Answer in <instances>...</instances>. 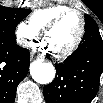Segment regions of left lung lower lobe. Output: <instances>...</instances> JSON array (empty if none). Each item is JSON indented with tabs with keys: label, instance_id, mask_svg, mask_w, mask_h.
I'll list each match as a JSON object with an SVG mask.
<instances>
[{
	"label": "left lung lower lobe",
	"instance_id": "obj_1",
	"mask_svg": "<svg viewBox=\"0 0 103 103\" xmlns=\"http://www.w3.org/2000/svg\"><path fill=\"white\" fill-rule=\"evenodd\" d=\"M55 68L54 81L43 90L46 102L90 103L103 73V40L98 26L85 30L77 50Z\"/></svg>",
	"mask_w": 103,
	"mask_h": 103
}]
</instances>
